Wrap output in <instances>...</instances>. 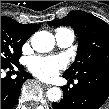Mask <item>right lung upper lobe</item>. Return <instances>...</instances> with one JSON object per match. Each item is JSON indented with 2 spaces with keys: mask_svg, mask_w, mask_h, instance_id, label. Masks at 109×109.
I'll list each match as a JSON object with an SVG mask.
<instances>
[{
  "mask_svg": "<svg viewBox=\"0 0 109 109\" xmlns=\"http://www.w3.org/2000/svg\"><path fill=\"white\" fill-rule=\"evenodd\" d=\"M1 26L13 28L18 31L21 36L28 39L34 32L38 30L40 24H20L9 17L1 16Z\"/></svg>",
  "mask_w": 109,
  "mask_h": 109,
  "instance_id": "1",
  "label": "right lung upper lobe"
}]
</instances>
